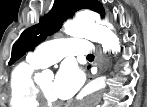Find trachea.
<instances>
[{
  "label": "trachea",
  "instance_id": "obj_1",
  "mask_svg": "<svg viewBox=\"0 0 147 107\" xmlns=\"http://www.w3.org/2000/svg\"><path fill=\"white\" fill-rule=\"evenodd\" d=\"M87 58H88V59H94V55H93V54H89V55L87 56Z\"/></svg>",
  "mask_w": 147,
  "mask_h": 107
}]
</instances>
